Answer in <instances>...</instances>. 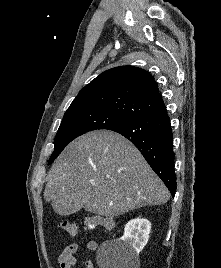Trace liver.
Here are the masks:
<instances>
[{
	"mask_svg": "<svg viewBox=\"0 0 221 268\" xmlns=\"http://www.w3.org/2000/svg\"><path fill=\"white\" fill-rule=\"evenodd\" d=\"M170 194L140 151L109 130L72 141L54 162L44 191L59 215L70 209L117 217L147 205H161Z\"/></svg>",
	"mask_w": 221,
	"mask_h": 268,
	"instance_id": "6515ba94",
	"label": "liver"
}]
</instances>
